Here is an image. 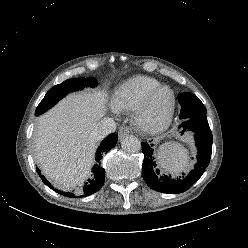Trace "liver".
I'll list each match as a JSON object with an SVG mask.
<instances>
[{
    "instance_id": "1",
    "label": "liver",
    "mask_w": 248,
    "mask_h": 248,
    "mask_svg": "<svg viewBox=\"0 0 248 248\" xmlns=\"http://www.w3.org/2000/svg\"><path fill=\"white\" fill-rule=\"evenodd\" d=\"M106 92L74 93L40 116L34 157L43 174L63 190L80 186L94 163L92 132L106 112Z\"/></svg>"
}]
</instances>
